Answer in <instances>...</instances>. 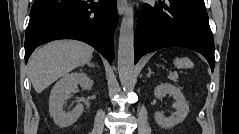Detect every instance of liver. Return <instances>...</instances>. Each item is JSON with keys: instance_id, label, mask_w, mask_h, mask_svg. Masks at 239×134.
<instances>
[{"instance_id": "6515ba94", "label": "liver", "mask_w": 239, "mask_h": 134, "mask_svg": "<svg viewBox=\"0 0 239 134\" xmlns=\"http://www.w3.org/2000/svg\"><path fill=\"white\" fill-rule=\"evenodd\" d=\"M94 49L76 40L53 41L37 49L28 62L34 90L41 93L60 77L92 59Z\"/></svg>"}]
</instances>
